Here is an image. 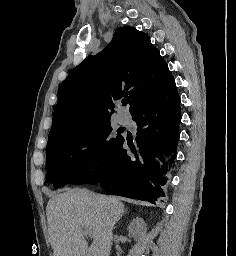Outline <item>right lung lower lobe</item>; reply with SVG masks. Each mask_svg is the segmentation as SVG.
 <instances>
[{"instance_id": "98d812e1", "label": "right lung lower lobe", "mask_w": 236, "mask_h": 256, "mask_svg": "<svg viewBox=\"0 0 236 256\" xmlns=\"http://www.w3.org/2000/svg\"><path fill=\"white\" fill-rule=\"evenodd\" d=\"M131 115L138 124L134 144L123 137L105 161L70 183H100L111 195L151 203L165 196L161 185L176 158L180 136V97L175 82L150 96Z\"/></svg>"}]
</instances>
